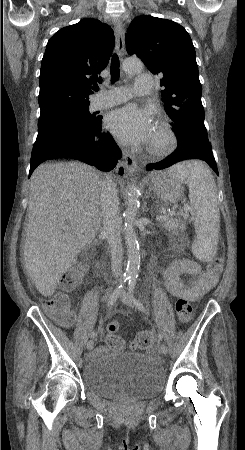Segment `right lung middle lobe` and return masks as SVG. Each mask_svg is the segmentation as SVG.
<instances>
[{
    "label": "right lung middle lobe",
    "mask_w": 245,
    "mask_h": 450,
    "mask_svg": "<svg viewBox=\"0 0 245 450\" xmlns=\"http://www.w3.org/2000/svg\"><path fill=\"white\" fill-rule=\"evenodd\" d=\"M89 104L59 105L41 110L35 148L75 132H81L96 119L89 113Z\"/></svg>",
    "instance_id": "1"
}]
</instances>
